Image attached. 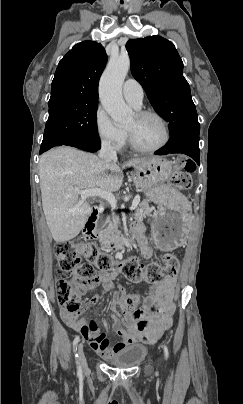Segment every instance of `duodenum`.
<instances>
[{"mask_svg": "<svg viewBox=\"0 0 243 404\" xmlns=\"http://www.w3.org/2000/svg\"><path fill=\"white\" fill-rule=\"evenodd\" d=\"M96 219H97V209L94 208L91 215L87 219L84 229L83 236L86 239H93L96 237ZM133 242V237H118L105 244V247L110 252H117L124 248L130 247Z\"/></svg>", "mask_w": 243, "mask_h": 404, "instance_id": "duodenum-1", "label": "duodenum"}]
</instances>
